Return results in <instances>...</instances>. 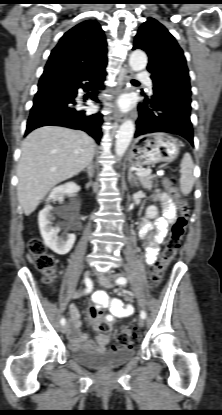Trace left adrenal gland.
Masks as SVG:
<instances>
[{"instance_id": "1", "label": "left adrenal gland", "mask_w": 222, "mask_h": 415, "mask_svg": "<svg viewBox=\"0 0 222 415\" xmlns=\"http://www.w3.org/2000/svg\"><path fill=\"white\" fill-rule=\"evenodd\" d=\"M128 181L130 182L131 186H138L137 177L133 173L131 168H129V171H128Z\"/></svg>"}]
</instances>
